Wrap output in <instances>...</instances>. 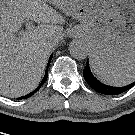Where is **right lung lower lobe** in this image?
Here are the masks:
<instances>
[{"mask_svg":"<svg viewBox=\"0 0 135 135\" xmlns=\"http://www.w3.org/2000/svg\"><path fill=\"white\" fill-rule=\"evenodd\" d=\"M51 58H52V55L50 56L49 63H50ZM49 63H48V66H49ZM47 76H48V74H47V70H46L44 78L42 79V81L39 84L38 88H36L33 92H31V93H29V94H27L25 96L20 97L19 99H26V98L32 96L45 83V81L47 80Z\"/></svg>","mask_w":135,"mask_h":135,"instance_id":"right-lung-lower-lobe-1","label":"right lung lower lobe"}]
</instances>
